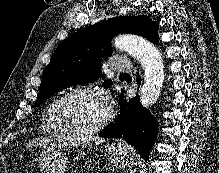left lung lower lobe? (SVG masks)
<instances>
[{"instance_id":"left-lung-lower-lobe-1","label":"left lung lower lobe","mask_w":219,"mask_h":173,"mask_svg":"<svg viewBox=\"0 0 219 173\" xmlns=\"http://www.w3.org/2000/svg\"><path fill=\"white\" fill-rule=\"evenodd\" d=\"M140 77L137 82L140 83ZM120 115L99 133L101 137L121 138L133 146L144 158L149 159V152L157 136L158 122L148 109L140 104L139 97L126 101L120 96Z\"/></svg>"}]
</instances>
